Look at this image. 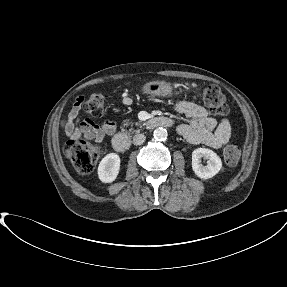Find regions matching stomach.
Wrapping results in <instances>:
<instances>
[{"label": "stomach", "mask_w": 287, "mask_h": 287, "mask_svg": "<svg viewBox=\"0 0 287 287\" xmlns=\"http://www.w3.org/2000/svg\"><path fill=\"white\" fill-rule=\"evenodd\" d=\"M142 92L151 97H170L173 94V87L169 82L157 80L146 83L142 87Z\"/></svg>", "instance_id": "obj_1"}]
</instances>
